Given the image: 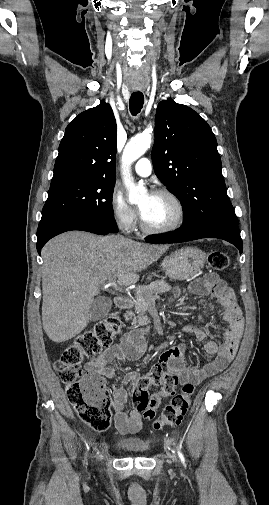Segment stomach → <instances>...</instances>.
<instances>
[{
    "mask_svg": "<svg viewBox=\"0 0 269 505\" xmlns=\"http://www.w3.org/2000/svg\"><path fill=\"white\" fill-rule=\"evenodd\" d=\"M205 253L194 247L182 248L166 256L162 261V270L175 280H184L198 274L205 263Z\"/></svg>",
    "mask_w": 269,
    "mask_h": 505,
    "instance_id": "stomach-1",
    "label": "stomach"
}]
</instances>
